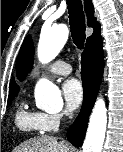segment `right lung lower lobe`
Returning a JSON list of instances; mask_svg holds the SVG:
<instances>
[{"mask_svg":"<svg viewBox=\"0 0 123 152\" xmlns=\"http://www.w3.org/2000/svg\"><path fill=\"white\" fill-rule=\"evenodd\" d=\"M104 69L101 36L86 43L81 60V77L84 100L81 111L69 128L67 137L75 147H81L87 129V122L93 108Z\"/></svg>","mask_w":123,"mask_h":152,"instance_id":"obj_1","label":"right lung lower lobe"}]
</instances>
